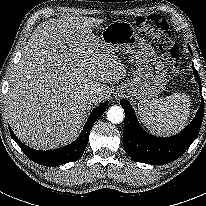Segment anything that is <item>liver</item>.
<instances>
[{
	"mask_svg": "<svg viewBox=\"0 0 206 206\" xmlns=\"http://www.w3.org/2000/svg\"><path fill=\"white\" fill-rule=\"evenodd\" d=\"M103 20L63 16L33 31L12 73L5 109L12 130L26 145L54 149L72 141L92 106L126 76L122 61L92 29ZM99 93L101 99L90 100Z\"/></svg>",
	"mask_w": 206,
	"mask_h": 206,
	"instance_id": "obj_1",
	"label": "liver"
}]
</instances>
